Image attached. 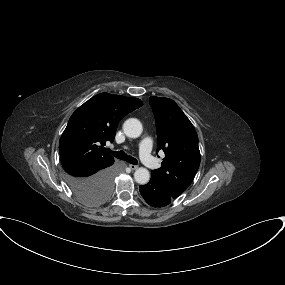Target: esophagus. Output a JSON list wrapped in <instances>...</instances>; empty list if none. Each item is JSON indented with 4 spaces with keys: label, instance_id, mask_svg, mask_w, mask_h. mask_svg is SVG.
<instances>
[{
    "label": "esophagus",
    "instance_id": "esophagus-1",
    "mask_svg": "<svg viewBox=\"0 0 285 285\" xmlns=\"http://www.w3.org/2000/svg\"><path fill=\"white\" fill-rule=\"evenodd\" d=\"M129 168H130L131 170H136V169L138 168V166H137V165L130 164V165H129Z\"/></svg>",
    "mask_w": 285,
    "mask_h": 285
}]
</instances>
